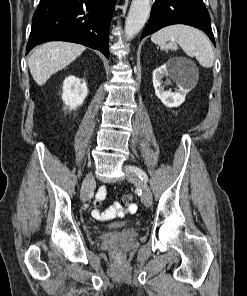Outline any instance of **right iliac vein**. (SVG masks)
Listing matches in <instances>:
<instances>
[{
  "label": "right iliac vein",
  "instance_id": "1",
  "mask_svg": "<svg viewBox=\"0 0 247 296\" xmlns=\"http://www.w3.org/2000/svg\"><path fill=\"white\" fill-rule=\"evenodd\" d=\"M94 185V177L92 173H89L83 182V192H82V201L86 202L89 199L92 188Z\"/></svg>",
  "mask_w": 247,
  "mask_h": 296
}]
</instances>
